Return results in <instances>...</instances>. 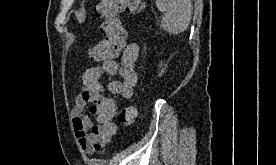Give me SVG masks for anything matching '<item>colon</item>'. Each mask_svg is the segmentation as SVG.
<instances>
[{
  "instance_id": "colon-1",
  "label": "colon",
  "mask_w": 276,
  "mask_h": 165,
  "mask_svg": "<svg viewBox=\"0 0 276 165\" xmlns=\"http://www.w3.org/2000/svg\"><path fill=\"white\" fill-rule=\"evenodd\" d=\"M144 7L142 0H99L94 7V13L101 21L102 39L89 49L90 58L96 61H109L116 58L124 48L126 39L119 15L137 14ZM136 116V107L128 105L120 110L118 121L121 125L129 127L135 122Z\"/></svg>"
}]
</instances>
